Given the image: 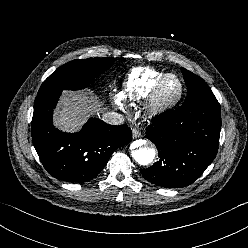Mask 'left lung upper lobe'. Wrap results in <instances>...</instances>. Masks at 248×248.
Returning a JSON list of instances; mask_svg holds the SVG:
<instances>
[{"label":"left lung upper lobe","instance_id":"5c2ea615","mask_svg":"<svg viewBox=\"0 0 248 248\" xmlns=\"http://www.w3.org/2000/svg\"><path fill=\"white\" fill-rule=\"evenodd\" d=\"M181 71L187 86V97L183 103L184 105L193 104L205 98L215 97L202 78L184 68H181Z\"/></svg>","mask_w":248,"mask_h":248}]
</instances>
